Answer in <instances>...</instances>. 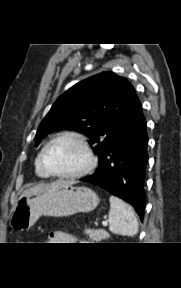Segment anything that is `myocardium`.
<instances>
[{"mask_svg":"<svg viewBox=\"0 0 181 288\" xmlns=\"http://www.w3.org/2000/svg\"><path fill=\"white\" fill-rule=\"evenodd\" d=\"M64 138H69V139L75 140L82 147V149L85 153L86 162H85L84 166L81 169H79L78 171L73 172V173H67V174L56 173L48 167L46 160H45V154H46L47 149L54 142H56L60 139H64ZM39 159H40L41 166L43 167V169L47 172V174L49 176L55 177V178H60V179L80 178V177L86 175L87 173H89L95 167V164H96V159L94 157V154L92 152V149H91L86 137L83 134H81L80 132L72 131V130L62 131V132H59L56 135H54L43 146V148L39 154Z\"/></svg>","mask_w":181,"mask_h":288,"instance_id":"obj_1","label":"myocardium"}]
</instances>
